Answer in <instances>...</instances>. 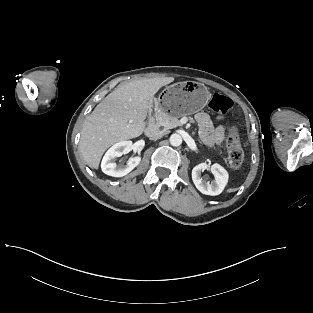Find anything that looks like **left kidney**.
<instances>
[{
  "label": "left kidney",
  "instance_id": "5707ae66",
  "mask_svg": "<svg viewBox=\"0 0 313 313\" xmlns=\"http://www.w3.org/2000/svg\"><path fill=\"white\" fill-rule=\"evenodd\" d=\"M208 168L206 163L196 165L192 170V180L196 188L206 195H219L224 190L228 182V172L219 164H213L210 167L214 180L206 182L201 177V172Z\"/></svg>",
  "mask_w": 313,
  "mask_h": 313
}]
</instances>
